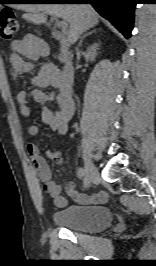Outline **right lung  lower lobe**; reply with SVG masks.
<instances>
[{
    "label": "right lung lower lobe",
    "mask_w": 156,
    "mask_h": 266,
    "mask_svg": "<svg viewBox=\"0 0 156 266\" xmlns=\"http://www.w3.org/2000/svg\"><path fill=\"white\" fill-rule=\"evenodd\" d=\"M59 4H92L96 11L108 19L126 38L131 36L134 9L138 0H47Z\"/></svg>",
    "instance_id": "98d812e1"
}]
</instances>
